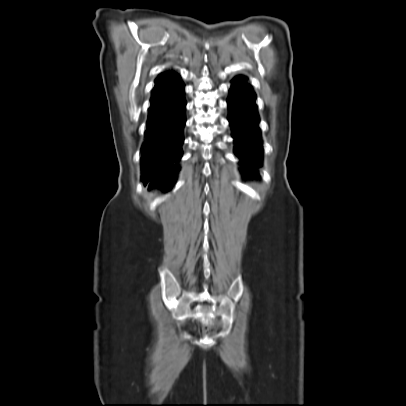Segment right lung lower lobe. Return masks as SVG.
I'll return each instance as SVG.
<instances>
[{
    "instance_id": "1",
    "label": "right lung lower lobe",
    "mask_w": 406,
    "mask_h": 406,
    "mask_svg": "<svg viewBox=\"0 0 406 406\" xmlns=\"http://www.w3.org/2000/svg\"><path fill=\"white\" fill-rule=\"evenodd\" d=\"M185 86L179 75L167 72L159 77L150 100L145 141L141 149L142 181L170 190L180 170L185 125Z\"/></svg>"
}]
</instances>
